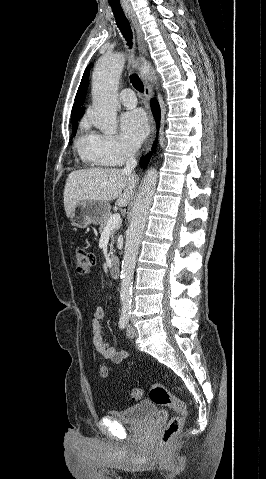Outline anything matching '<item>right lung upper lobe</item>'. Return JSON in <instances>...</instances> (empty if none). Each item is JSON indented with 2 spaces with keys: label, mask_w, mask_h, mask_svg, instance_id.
Wrapping results in <instances>:
<instances>
[{
  "label": "right lung upper lobe",
  "mask_w": 266,
  "mask_h": 479,
  "mask_svg": "<svg viewBox=\"0 0 266 479\" xmlns=\"http://www.w3.org/2000/svg\"><path fill=\"white\" fill-rule=\"evenodd\" d=\"M88 79H89V69L87 68L83 74L80 86L78 88L76 97H75V104L73 105L72 112H71V120H79L82 115L84 114V109L80 107V105H83L86 92H87V86H88Z\"/></svg>",
  "instance_id": "1"
}]
</instances>
